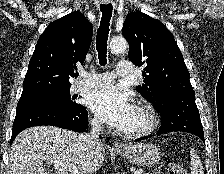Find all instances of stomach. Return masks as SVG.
<instances>
[{
	"label": "stomach",
	"instance_id": "0dacf381",
	"mask_svg": "<svg viewBox=\"0 0 224 174\" xmlns=\"http://www.w3.org/2000/svg\"><path fill=\"white\" fill-rule=\"evenodd\" d=\"M123 157H126L130 162L143 166H154L161 159L160 150L150 143H138L130 145L127 151H117Z\"/></svg>",
	"mask_w": 224,
	"mask_h": 174
}]
</instances>
